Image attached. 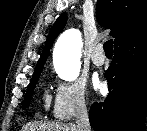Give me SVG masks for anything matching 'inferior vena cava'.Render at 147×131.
I'll return each instance as SVG.
<instances>
[{"label":"inferior vena cava","instance_id":"602c4592","mask_svg":"<svg viewBox=\"0 0 147 131\" xmlns=\"http://www.w3.org/2000/svg\"><path fill=\"white\" fill-rule=\"evenodd\" d=\"M76 126L78 131H91L86 104L81 102L76 107Z\"/></svg>","mask_w":147,"mask_h":131}]
</instances>
